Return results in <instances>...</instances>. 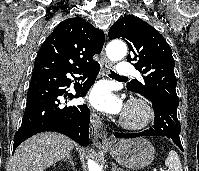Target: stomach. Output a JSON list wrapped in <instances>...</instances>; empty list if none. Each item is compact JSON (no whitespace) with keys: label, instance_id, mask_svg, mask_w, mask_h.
Wrapping results in <instances>:
<instances>
[{"label":"stomach","instance_id":"stomach-1","mask_svg":"<svg viewBox=\"0 0 199 171\" xmlns=\"http://www.w3.org/2000/svg\"><path fill=\"white\" fill-rule=\"evenodd\" d=\"M110 154L126 168L142 169L154 160L155 149L145 138L122 139L110 148Z\"/></svg>","mask_w":199,"mask_h":171}]
</instances>
